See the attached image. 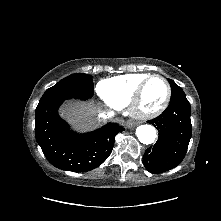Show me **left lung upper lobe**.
<instances>
[{
  "label": "left lung upper lobe",
  "mask_w": 221,
  "mask_h": 221,
  "mask_svg": "<svg viewBox=\"0 0 221 221\" xmlns=\"http://www.w3.org/2000/svg\"><path fill=\"white\" fill-rule=\"evenodd\" d=\"M171 85V99L170 102L176 100L186 99V95L181 87H179L173 80L169 79Z\"/></svg>",
  "instance_id": "5c2ea615"
}]
</instances>
